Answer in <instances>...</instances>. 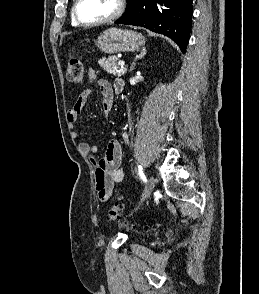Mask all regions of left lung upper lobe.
Segmentation results:
<instances>
[{"mask_svg": "<svg viewBox=\"0 0 259 294\" xmlns=\"http://www.w3.org/2000/svg\"><path fill=\"white\" fill-rule=\"evenodd\" d=\"M132 6H133V0H128L127 9L125 13L129 12L132 9Z\"/></svg>", "mask_w": 259, "mask_h": 294, "instance_id": "1", "label": "left lung upper lobe"}]
</instances>
